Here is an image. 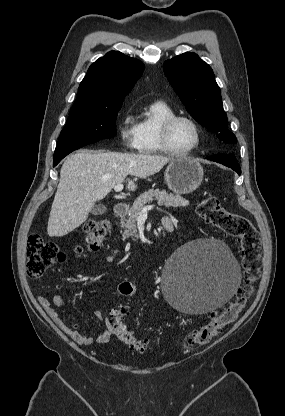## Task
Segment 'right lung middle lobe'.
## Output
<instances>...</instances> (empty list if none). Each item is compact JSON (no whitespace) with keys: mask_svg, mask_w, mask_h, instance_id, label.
Here are the masks:
<instances>
[{"mask_svg":"<svg viewBox=\"0 0 285 416\" xmlns=\"http://www.w3.org/2000/svg\"><path fill=\"white\" fill-rule=\"evenodd\" d=\"M123 101L104 104L75 102L58 144L98 141L116 134V117Z\"/></svg>","mask_w":285,"mask_h":416,"instance_id":"right-lung-middle-lobe-1","label":"right lung middle lobe"}]
</instances>
